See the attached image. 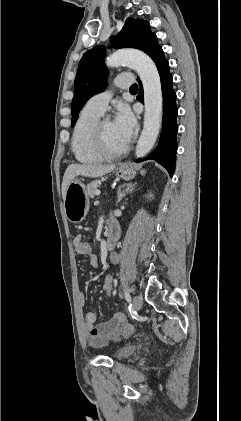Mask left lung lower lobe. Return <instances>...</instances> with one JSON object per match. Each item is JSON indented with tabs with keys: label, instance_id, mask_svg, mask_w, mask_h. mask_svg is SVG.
<instances>
[{
	"label": "left lung lower lobe",
	"instance_id": "1",
	"mask_svg": "<svg viewBox=\"0 0 241 421\" xmlns=\"http://www.w3.org/2000/svg\"><path fill=\"white\" fill-rule=\"evenodd\" d=\"M155 62L160 74L162 94H163V120L160 141L155 150L143 159H137L136 162H142L148 159H154L156 162L164 166L170 176L173 175L175 169V158L177 151L176 134L178 127L176 124L177 107L176 93L173 90L172 76L169 71L168 61L164 57V53L158 44L156 35L150 41L144 51ZM140 93L143 92L142 84L139 81Z\"/></svg>",
	"mask_w": 241,
	"mask_h": 421
}]
</instances>
